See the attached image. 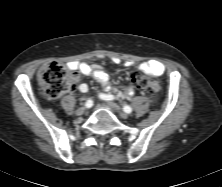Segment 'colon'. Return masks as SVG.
Segmentation results:
<instances>
[{
  "label": "colon",
  "instance_id": "5ec220e1",
  "mask_svg": "<svg viewBox=\"0 0 222 187\" xmlns=\"http://www.w3.org/2000/svg\"><path fill=\"white\" fill-rule=\"evenodd\" d=\"M75 77L76 73L57 62L42 66L38 72L43 94L50 100L73 90ZM135 80L139 88L145 91L152 101L158 99V84L150 76L138 74Z\"/></svg>",
  "mask_w": 222,
  "mask_h": 187
}]
</instances>
